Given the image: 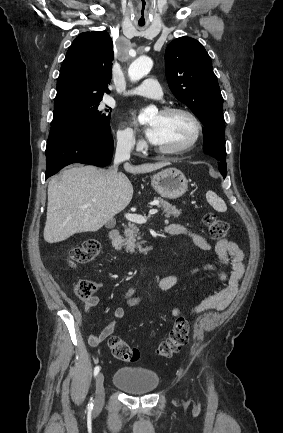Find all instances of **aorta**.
Here are the masks:
<instances>
[{"label":"aorta","mask_w":283,"mask_h":433,"mask_svg":"<svg viewBox=\"0 0 283 433\" xmlns=\"http://www.w3.org/2000/svg\"><path fill=\"white\" fill-rule=\"evenodd\" d=\"M153 66V61L149 57H140L136 59L128 69V75L132 82L139 81L144 76H146ZM157 112L155 107H148L142 109L141 113L138 116V120L140 124H145L150 122L153 115Z\"/></svg>","instance_id":"aorta-1"}]
</instances>
